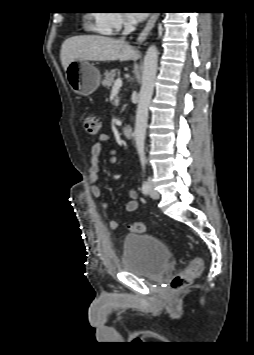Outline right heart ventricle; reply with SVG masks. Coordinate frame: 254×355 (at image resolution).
Wrapping results in <instances>:
<instances>
[{
    "label": "right heart ventricle",
    "mask_w": 254,
    "mask_h": 355,
    "mask_svg": "<svg viewBox=\"0 0 254 355\" xmlns=\"http://www.w3.org/2000/svg\"><path fill=\"white\" fill-rule=\"evenodd\" d=\"M92 17L95 19V18L97 17V14H93ZM90 26H91L93 29L98 30L95 23H94V24H91ZM98 31H99V30H98ZM100 32H101V31H100ZM101 33H103V32H101Z\"/></svg>",
    "instance_id": "1"
}]
</instances>
